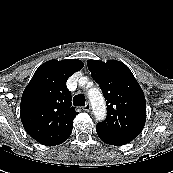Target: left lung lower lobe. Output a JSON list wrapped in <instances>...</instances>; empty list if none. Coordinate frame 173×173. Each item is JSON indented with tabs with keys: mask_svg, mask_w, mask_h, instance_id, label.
<instances>
[{
	"mask_svg": "<svg viewBox=\"0 0 173 173\" xmlns=\"http://www.w3.org/2000/svg\"><path fill=\"white\" fill-rule=\"evenodd\" d=\"M96 131H97L99 138L104 143L109 144V145L122 146V145H125L130 142L129 140L116 137L98 127H96Z\"/></svg>",
	"mask_w": 173,
	"mask_h": 173,
	"instance_id": "0a47b994",
	"label": "left lung lower lobe"
}]
</instances>
